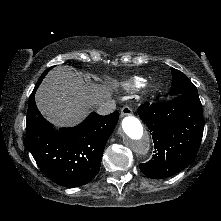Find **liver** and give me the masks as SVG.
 <instances>
[{"mask_svg":"<svg viewBox=\"0 0 221 221\" xmlns=\"http://www.w3.org/2000/svg\"><path fill=\"white\" fill-rule=\"evenodd\" d=\"M117 83L97 85L85 82L80 73L68 66L52 69L39 86L36 105L42 115L58 127L80 123L93 107L107 101Z\"/></svg>","mask_w":221,"mask_h":221,"instance_id":"liver-1","label":"liver"}]
</instances>
